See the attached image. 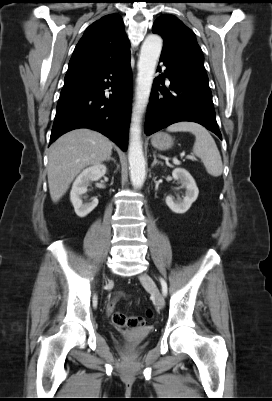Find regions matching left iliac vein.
<instances>
[{
	"instance_id": "obj_1",
	"label": "left iliac vein",
	"mask_w": 272,
	"mask_h": 401,
	"mask_svg": "<svg viewBox=\"0 0 272 401\" xmlns=\"http://www.w3.org/2000/svg\"><path fill=\"white\" fill-rule=\"evenodd\" d=\"M140 280L143 283V285L154 296L155 303H156L157 307L164 308V305H165L164 298H163L161 292L159 291V289L157 288L154 280L147 273H143L140 276Z\"/></svg>"
}]
</instances>
